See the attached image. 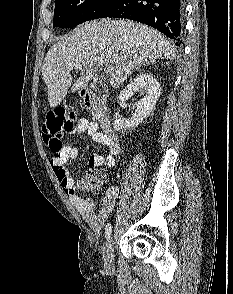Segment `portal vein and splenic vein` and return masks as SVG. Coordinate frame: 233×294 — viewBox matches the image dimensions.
<instances>
[{
	"mask_svg": "<svg viewBox=\"0 0 233 294\" xmlns=\"http://www.w3.org/2000/svg\"><path fill=\"white\" fill-rule=\"evenodd\" d=\"M76 69H78V70H82V65H77ZM112 70H113V67L108 66V67L105 69V73H111Z\"/></svg>",
	"mask_w": 233,
	"mask_h": 294,
	"instance_id": "1",
	"label": "portal vein and splenic vein"
}]
</instances>
